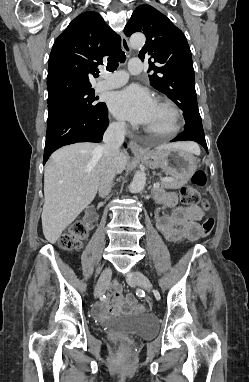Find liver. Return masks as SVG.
<instances>
[{
  "label": "liver",
  "mask_w": 249,
  "mask_h": 382,
  "mask_svg": "<svg viewBox=\"0 0 249 382\" xmlns=\"http://www.w3.org/2000/svg\"><path fill=\"white\" fill-rule=\"evenodd\" d=\"M101 145L75 143L55 151L44 170L42 229L47 241L54 244L62 232L94 200L101 177L104 155ZM197 155L199 147L190 142L168 144ZM128 155L120 153L119 173L126 167Z\"/></svg>",
  "instance_id": "1"
}]
</instances>
